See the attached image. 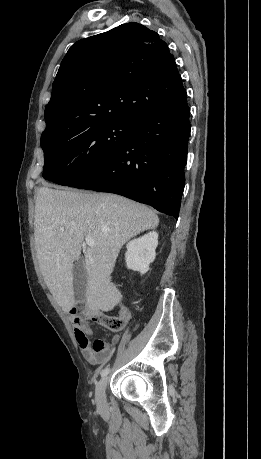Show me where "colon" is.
I'll use <instances>...</instances> for the list:
<instances>
[{
  "label": "colon",
  "mask_w": 261,
  "mask_h": 459,
  "mask_svg": "<svg viewBox=\"0 0 261 459\" xmlns=\"http://www.w3.org/2000/svg\"><path fill=\"white\" fill-rule=\"evenodd\" d=\"M71 313L75 314L76 309H72ZM97 320L109 331L117 332L124 328L126 324V318L122 315H111V314H100Z\"/></svg>",
  "instance_id": "5ec220e1"
}]
</instances>
